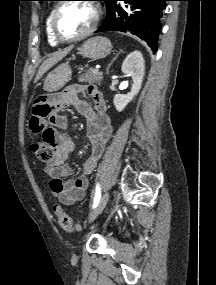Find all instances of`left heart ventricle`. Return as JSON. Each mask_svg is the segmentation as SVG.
I'll return each mask as SVG.
<instances>
[{"instance_id": "b2bd125f", "label": "left heart ventricle", "mask_w": 216, "mask_h": 285, "mask_svg": "<svg viewBox=\"0 0 216 285\" xmlns=\"http://www.w3.org/2000/svg\"><path fill=\"white\" fill-rule=\"evenodd\" d=\"M93 7L84 2L70 3L60 12L57 28L61 35L73 37L85 32L94 20Z\"/></svg>"}]
</instances>
